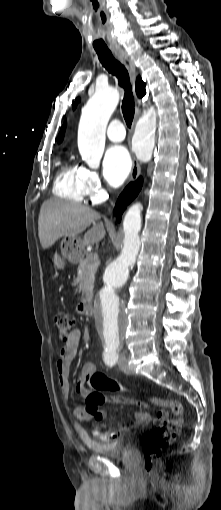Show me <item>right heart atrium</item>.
<instances>
[{
    "instance_id": "obj_1",
    "label": "right heart atrium",
    "mask_w": 221,
    "mask_h": 510,
    "mask_svg": "<svg viewBox=\"0 0 221 510\" xmlns=\"http://www.w3.org/2000/svg\"><path fill=\"white\" fill-rule=\"evenodd\" d=\"M82 186L85 195L92 201L99 200L103 195L101 178L98 172L93 169L82 167Z\"/></svg>"
}]
</instances>
